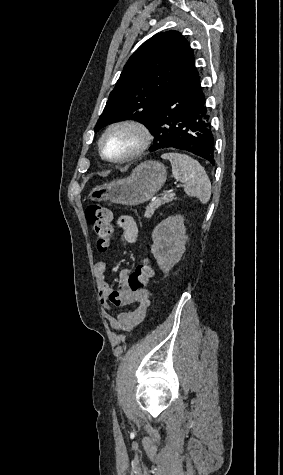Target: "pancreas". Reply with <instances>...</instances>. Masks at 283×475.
Wrapping results in <instances>:
<instances>
[{
  "instance_id": "pancreas-1",
  "label": "pancreas",
  "mask_w": 283,
  "mask_h": 475,
  "mask_svg": "<svg viewBox=\"0 0 283 475\" xmlns=\"http://www.w3.org/2000/svg\"><path fill=\"white\" fill-rule=\"evenodd\" d=\"M173 200H177L174 194H167V196H163V198H158V200H154V202H151V204L147 206L146 212H144V218H152L157 208H160L162 204H168V202H173Z\"/></svg>"
}]
</instances>
